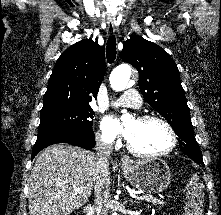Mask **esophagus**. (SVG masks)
<instances>
[{
    "mask_svg": "<svg viewBox=\"0 0 221 215\" xmlns=\"http://www.w3.org/2000/svg\"><path fill=\"white\" fill-rule=\"evenodd\" d=\"M107 31L109 34H113L114 31H115V23H114V20L113 19H108L107 21ZM122 162L123 163H127L128 162V158L127 157H123L122 158Z\"/></svg>",
    "mask_w": 221,
    "mask_h": 215,
    "instance_id": "obj_1",
    "label": "esophagus"
}]
</instances>
